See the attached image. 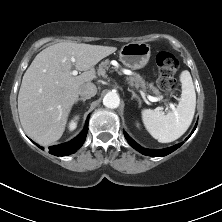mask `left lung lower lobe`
Segmentation results:
<instances>
[{
  "instance_id": "1",
  "label": "left lung lower lobe",
  "mask_w": 222,
  "mask_h": 222,
  "mask_svg": "<svg viewBox=\"0 0 222 222\" xmlns=\"http://www.w3.org/2000/svg\"><path fill=\"white\" fill-rule=\"evenodd\" d=\"M197 124L195 125L192 133L194 132V130L196 129ZM191 133V134H192ZM125 138L127 139L128 143L135 148L136 150H138L139 152H141L144 155L147 156H154V157H160V156H165L170 154L171 152L175 151L177 148H179L183 143H179L175 146L166 148V149H162V150H149V149H145L143 147H141L140 145H138L134 140H132L125 132ZM189 138V137H188ZM187 138V139H188Z\"/></svg>"
}]
</instances>
